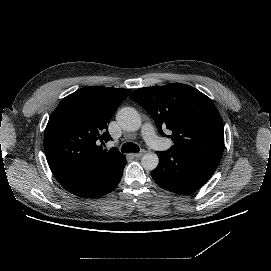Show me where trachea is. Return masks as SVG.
Listing matches in <instances>:
<instances>
[{
  "instance_id": "obj_1",
  "label": "trachea",
  "mask_w": 271,
  "mask_h": 271,
  "mask_svg": "<svg viewBox=\"0 0 271 271\" xmlns=\"http://www.w3.org/2000/svg\"><path fill=\"white\" fill-rule=\"evenodd\" d=\"M121 151L122 152H139L140 148L135 143L127 142V143L123 144V146L121 147Z\"/></svg>"
}]
</instances>
